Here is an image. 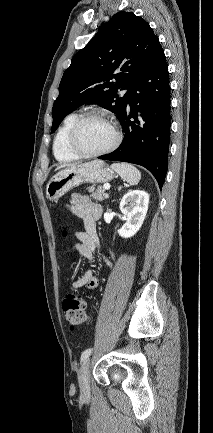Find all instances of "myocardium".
I'll return each instance as SVG.
<instances>
[{
    "label": "myocardium",
    "mask_w": 213,
    "mask_h": 433,
    "mask_svg": "<svg viewBox=\"0 0 213 433\" xmlns=\"http://www.w3.org/2000/svg\"><path fill=\"white\" fill-rule=\"evenodd\" d=\"M91 119H98V120L104 121L105 123H107L112 128V130L114 132V141L112 142V144L109 147H107L106 149L98 151V152H86V151L82 150L78 144V134H79V131H80L82 125L86 121L91 120ZM121 140H122V134H121L119 128L117 127V125L115 124V122L111 118H109L104 113L97 112V111H91V112H87V113L79 116L78 119L75 121V123L73 124V126L69 132L68 142H69L70 149L77 156H79L81 158H95V157L104 156L106 154L113 152L120 145Z\"/></svg>",
    "instance_id": "f54148a6"
}]
</instances>
